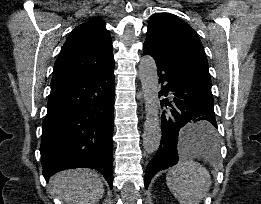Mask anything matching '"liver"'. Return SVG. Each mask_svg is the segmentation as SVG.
I'll use <instances>...</instances> for the list:
<instances>
[{
	"label": "liver",
	"instance_id": "liver-1",
	"mask_svg": "<svg viewBox=\"0 0 261 204\" xmlns=\"http://www.w3.org/2000/svg\"><path fill=\"white\" fill-rule=\"evenodd\" d=\"M50 183L67 204H96L104 194L100 174L89 169L59 172Z\"/></svg>",
	"mask_w": 261,
	"mask_h": 204
}]
</instances>
